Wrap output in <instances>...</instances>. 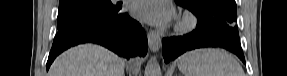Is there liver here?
<instances>
[{"mask_svg": "<svg viewBox=\"0 0 287 76\" xmlns=\"http://www.w3.org/2000/svg\"><path fill=\"white\" fill-rule=\"evenodd\" d=\"M124 60L96 44H82L59 55L48 76H123Z\"/></svg>", "mask_w": 287, "mask_h": 76, "instance_id": "1", "label": "liver"}]
</instances>
